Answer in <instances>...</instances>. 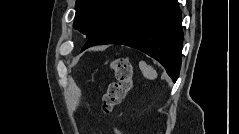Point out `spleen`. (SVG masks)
<instances>
[{
  "instance_id": "3e777b00",
  "label": "spleen",
  "mask_w": 239,
  "mask_h": 134,
  "mask_svg": "<svg viewBox=\"0 0 239 134\" xmlns=\"http://www.w3.org/2000/svg\"><path fill=\"white\" fill-rule=\"evenodd\" d=\"M139 68L143 73V76L149 80H154L157 77V72L154 70V68L148 64H146L144 61L139 62Z\"/></svg>"
}]
</instances>
